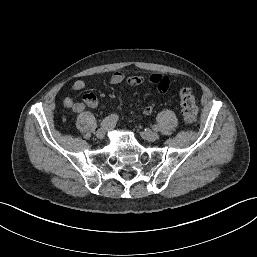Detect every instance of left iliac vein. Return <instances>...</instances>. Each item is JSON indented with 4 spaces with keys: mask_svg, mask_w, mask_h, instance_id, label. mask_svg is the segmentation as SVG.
Masks as SVG:
<instances>
[{
    "mask_svg": "<svg viewBox=\"0 0 257 257\" xmlns=\"http://www.w3.org/2000/svg\"><path fill=\"white\" fill-rule=\"evenodd\" d=\"M142 137L148 141H155L159 138V134L155 131H144Z\"/></svg>",
    "mask_w": 257,
    "mask_h": 257,
    "instance_id": "1",
    "label": "left iliac vein"
}]
</instances>
